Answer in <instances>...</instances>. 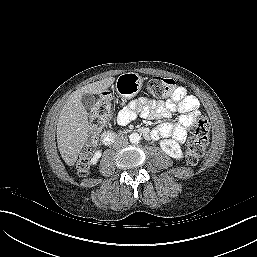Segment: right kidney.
<instances>
[{
  "instance_id": "right-kidney-1",
  "label": "right kidney",
  "mask_w": 257,
  "mask_h": 257,
  "mask_svg": "<svg viewBox=\"0 0 257 257\" xmlns=\"http://www.w3.org/2000/svg\"><path fill=\"white\" fill-rule=\"evenodd\" d=\"M100 157H101V151L95 152V154L93 155V157L90 160V165L97 164Z\"/></svg>"
}]
</instances>
